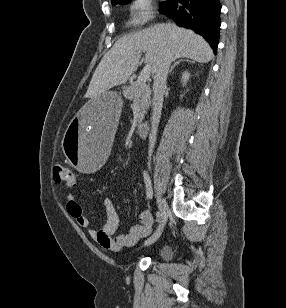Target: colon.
Returning a JSON list of instances; mask_svg holds the SVG:
<instances>
[{
    "label": "colon",
    "mask_w": 286,
    "mask_h": 308,
    "mask_svg": "<svg viewBox=\"0 0 286 308\" xmlns=\"http://www.w3.org/2000/svg\"><path fill=\"white\" fill-rule=\"evenodd\" d=\"M53 179L58 185H64L69 188L75 186V173L68 166L58 165L54 167Z\"/></svg>",
    "instance_id": "obj_1"
}]
</instances>
